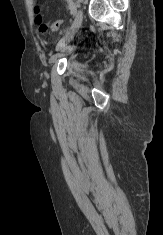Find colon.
Listing matches in <instances>:
<instances>
[{
  "label": "colon",
  "mask_w": 163,
  "mask_h": 235,
  "mask_svg": "<svg viewBox=\"0 0 163 235\" xmlns=\"http://www.w3.org/2000/svg\"><path fill=\"white\" fill-rule=\"evenodd\" d=\"M35 11H36L35 21H36V24H37L40 32H46L48 30L57 31L60 28V26L62 24L61 20H55L50 23L45 22L42 15L40 14V10L37 6L35 8Z\"/></svg>",
  "instance_id": "obj_1"
}]
</instances>
